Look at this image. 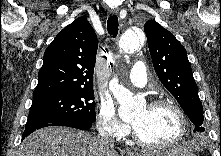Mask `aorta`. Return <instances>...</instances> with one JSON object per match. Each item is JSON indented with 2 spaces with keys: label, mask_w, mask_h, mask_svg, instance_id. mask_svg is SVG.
Listing matches in <instances>:
<instances>
[{
  "label": "aorta",
  "mask_w": 221,
  "mask_h": 156,
  "mask_svg": "<svg viewBox=\"0 0 221 156\" xmlns=\"http://www.w3.org/2000/svg\"><path fill=\"white\" fill-rule=\"evenodd\" d=\"M140 45V35L134 31L124 32L119 39V47L127 53L134 52ZM109 89L120 104L119 116L123 120H130L135 112L144 106V101L133 96L127 88L118 84V79L113 78L109 83Z\"/></svg>",
  "instance_id": "aorta-1"
}]
</instances>
